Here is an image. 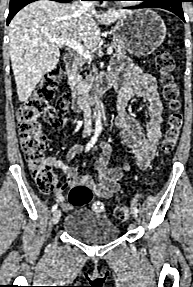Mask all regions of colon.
<instances>
[{"label":"colon","mask_w":193,"mask_h":287,"mask_svg":"<svg viewBox=\"0 0 193 287\" xmlns=\"http://www.w3.org/2000/svg\"><path fill=\"white\" fill-rule=\"evenodd\" d=\"M156 69L161 76L162 93L169 106L167 129L161 142V151L164 154L173 152L179 138L182 125L180 91L174 77L175 61L166 50L156 55ZM62 78V70L55 66L42 77L31 97L23 103L17 112L18 131L21 147L25 154L32 178L41 193H49L56 184V175L47 162V137L42 133L38 124L41 115L49 118L54 128L62 127L66 122L68 105L71 94L64 93L54 103V89ZM92 190L85 185L73 186L68 195V201L73 206H82L91 201ZM114 216L119 220H126L129 209L126 206H117Z\"/></svg>","instance_id":"obj_1"}]
</instances>
